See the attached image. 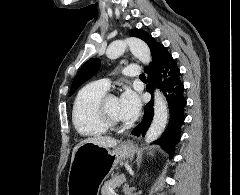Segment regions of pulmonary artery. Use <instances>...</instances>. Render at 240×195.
Segmentation results:
<instances>
[{"label": "pulmonary artery", "instance_id": "e3ab8cb5", "mask_svg": "<svg viewBox=\"0 0 240 195\" xmlns=\"http://www.w3.org/2000/svg\"><path fill=\"white\" fill-rule=\"evenodd\" d=\"M125 70L122 74L124 76H132L133 78L139 77V67L138 65H128L125 67ZM102 81V80H101ZM111 81L109 79H106L103 81V85L108 89L110 87Z\"/></svg>", "mask_w": 240, "mask_h": 195}]
</instances>
